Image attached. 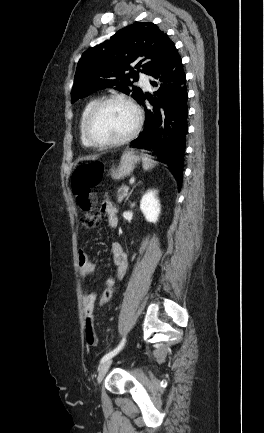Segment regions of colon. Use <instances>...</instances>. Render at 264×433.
Listing matches in <instances>:
<instances>
[{"mask_svg":"<svg viewBox=\"0 0 264 433\" xmlns=\"http://www.w3.org/2000/svg\"><path fill=\"white\" fill-rule=\"evenodd\" d=\"M103 177V165L99 162H88L79 165L71 178L72 191L80 208L84 210L81 225L86 229L96 227L101 221V214L94 208L95 199L92 189L98 186ZM114 285H108L100 298V306H106L115 295Z\"/></svg>","mask_w":264,"mask_h":433,"instance_id":"1","label":"colon"}]
</instances>
